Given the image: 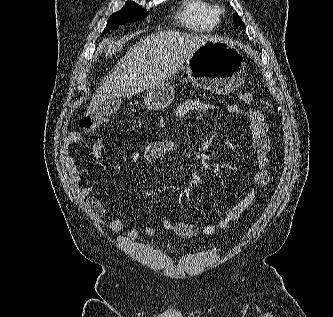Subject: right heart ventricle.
Here are the masks:
<instances>
[{"mask_svg": "<svg viewBox=\"0 0 333 317\" xmlns=\"http://www.w3.org/2000/svg\"><path fill=\"white\" fill-rule=\"evenodd\" d=\"M177 19L182 26L191 31L209 32L219 24L221 10L210 0H184Z\"/></svg>", "mask_w": 333, "mask_h": 317, "instance_id": "e07e8e85", "label": "right heart ventricle"}]
</instances>
